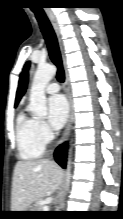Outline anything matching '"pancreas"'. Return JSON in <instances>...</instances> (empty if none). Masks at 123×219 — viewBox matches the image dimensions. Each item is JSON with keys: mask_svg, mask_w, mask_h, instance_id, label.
Returning <instances> with one entry per match:
<instances>
[{"mask_svg": "<svg viewBox=\"0 0 123 219\" xmlns=\"http://www.w3.org/2000/svg\"><path fill=\"white\" fill-rule=\"evenodd\" d=\"M34 208L36 211H43V205L40 200H37L34 204Z\"/></svg>", "mask_w": 123, "mask_h": 219, "instance_id": "pancreas-1", "label": "pancreas"}]
</instances>
